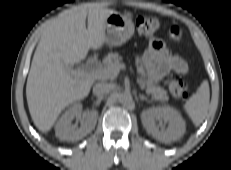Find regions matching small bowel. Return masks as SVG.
Returning <instances> with one entry per match:
<instances>
[{"instance_id": "1", "label": "small bowel", "mask_w": 231, "mask_h": 170, "mask_svg": "<svg viewBox=\"0 0 231 170\" xmlns=\"http://www.w3.org/2000/svg\"><path fill=\"white\" fill-rule=\"evenodd\" d=\"M171 33L174 38L180 37L178 27H172ZM137 61L149 78L155 82L161 81L172 71L179 74L188 72L186 61L180 56L172 54L165 44L157 38L150 41L149 47Z\"/></svg>"}]
</instances>
